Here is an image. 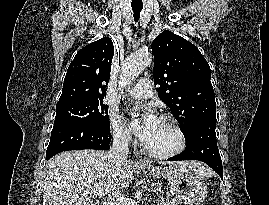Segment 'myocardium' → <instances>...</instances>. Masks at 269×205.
I'll use <instances>...</instances> for the list:
<instances>
[{
    "label": "myocardium",
    "mask_w": 269,
    "mask_h": 205,
    "mask_svg": "<svg viewBox=\"0 0 269 205\" xmlns=\"http://www.w3.org/2000/svg\"><path fill=\"white\" fill-rule=\"evenodd\" d=\"M160 119L168 122L171 125L176 135L178 136V146L173 150L167 152H157L149 149L145 144H143L142 150L144 151L145 154H147L150 157L157 159H167L182 153L186 148L187 139L180 123L173 116L163 114L160 116Z\"/></svg>",
    "instance_id": "myocardium-1"
}]
</instances>
